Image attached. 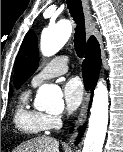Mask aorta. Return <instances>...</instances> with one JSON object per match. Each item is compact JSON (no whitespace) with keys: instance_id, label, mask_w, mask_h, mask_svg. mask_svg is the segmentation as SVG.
I'll list each match as a JSON object with an SVG mask.
<instances>
[{"instance_id":"obj_1","label":"aorta","mask_w":123,"mask_h":152,"mask_svg":"<svg viewBox=\"0 0 123 152\" xmlns=\"http://www.w3.org/2000/svg\"><path fill=\"white\" fill-rule=\"evenodd\" d=\"M71 32L72 23L69 20H61L45 28L40 41L42 55L50 57L56 54L66 44ZM63 106L62 92L59 88L47 84L39 88L35 99L37 109L52 112L62 109ZM108 109V90L104 81L101 80L94 92L83 152H102L108 124Z\"/></svg>"}]
</instances>
